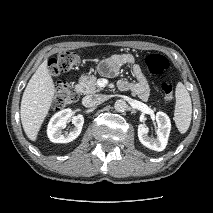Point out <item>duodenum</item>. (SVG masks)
<instances>
[{
  "label": "duodenum",
  "mask_w": 213,
  "mask_h": 213,
  "mask_svg": "<svg viewBox=\"0 0 213 213\" xmlns=\"http://www.w3.org/2000/svg\"><path fill=\"white\" fill-rule=\"evenodd\" d=\"M76 92L79 94V93H80V90H79V89H76Z\"/></svg>",
  "instance_id": "duodenum-1"
}]
</instances>
